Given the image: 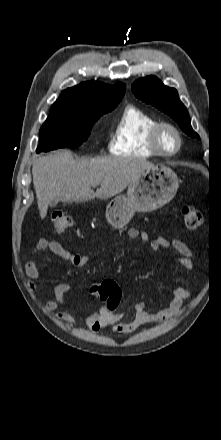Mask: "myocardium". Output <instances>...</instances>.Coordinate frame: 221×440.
<instances>
[{"label": "myocardium", "mask_w": 221, "mask_h": 440, "mask_svg": "<svg viewBox=\"0 0 221 440\" xmlns=\"http://www.w3.org/2000/svg\"><path fill=\"white\" fill-rule=\"evenodd\" d=\"M165 129L172 131L176 137V146L172 151L165 150L161 143L162 133ZM150 146L158 156L173 157L178 154L182 148L183 137L179 128L167 121H159L153 125L149 134Z\"/></svg>", "instance_id": "obj_1"}]
</instances>
